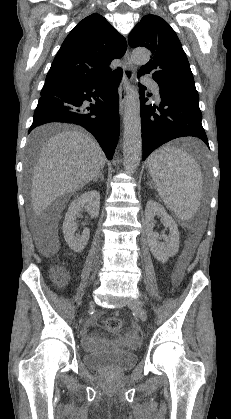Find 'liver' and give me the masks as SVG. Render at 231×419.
Segmentation results:
<instances>
[{"mask_svg":"<svg viewBox=\"0 0 231 419\" xmlns=\"http://www.w3.org/2000/svg\"><path fill=\"white\" fill-rule=\"evenodd\" d=\"M49 128H36L32 142L40 140ZM105 163L104 152L88 134L66 130L51 137L41 148L33 171L31 199L35 214L40 215L58 197L83 188L98 176ZM54 238L57 243V235Z\"/></svg>","mask_w":231,"mask_h":419,"instance_id":"obj_1","label":"liver"}]
</instances>
